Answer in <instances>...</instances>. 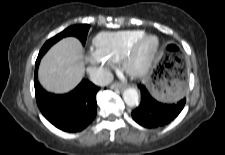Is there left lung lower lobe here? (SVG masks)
Instances as JSON below:
<instances>
[{
  "instance_id": "0a47b994",
  "label": "left lung lower lobe",
  "mask_w": 225,
  "mask_h": 155,
  "mask_svg": "<svg viewBox=\"0 0 225 155\" xmlns=\"http://www.w3.org/2000/svg\"><path fill=\"white\" fill-rule=\"evenodd\" d=\"M141 90V102L132 112L133 119L145 128H156L164 126L174 120L182 111L186 99L183 95L174 104H164L156 101L149 94L145 86H138Z\"/></svg>"
}]
</instances>
